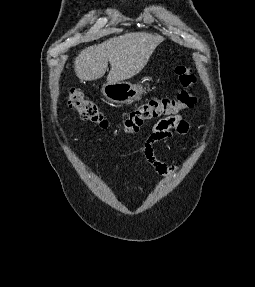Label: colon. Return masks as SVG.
<instances>
[{
  "label": "colon",
  "mask_w": 255,
  "mask_h": 287,
  "mask_svg": "<svg viewBox=\"0 0 255 287\" xmlns=\"http://www.w3.org/2000/svg\"><path fill=\"white\" fill-rule=\"evenodd\" d=\"M175 73L183 90L175 98L150 99L132 110L120 125L125 133H137L146 120L157 118L161 115L176 114L183 109L194 106L196 96L193 88L196 84V77L193 71L188 66L179 64L175 68ZM66 101L68 106L76 110L83 120L103 129L110 127V122L100 111L97 104L87 98L79 89H70L66 96Z\"/></svg>",
  "instance_id": "colon-1"
}]
</instances>
